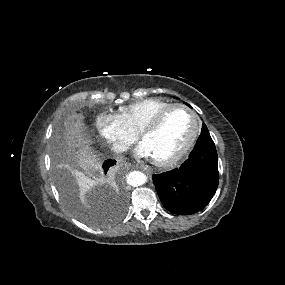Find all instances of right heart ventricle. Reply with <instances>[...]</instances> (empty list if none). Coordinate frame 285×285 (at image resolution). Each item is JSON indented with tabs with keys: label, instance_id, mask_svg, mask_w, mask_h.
Returning <instances> with one entry per match:
<instances>
[{
	"label": "right heart ventricle",
	"instance_id": "1",
	"mask_svg": "<svg viewBox=\"0 0 285 285\" xmlns=\"http://www.w3.org/2000/svg\"><path fill=\"white\" fill-rule=\"evenodd\" d=\"M173 103L160 98H149L120 109L119 116L134 132Z\"/></svg>",
	"mask_w": 285,
	"mask_h": 285
}]
</instances>
